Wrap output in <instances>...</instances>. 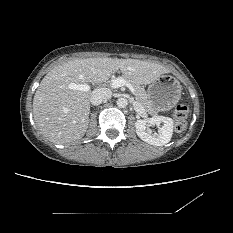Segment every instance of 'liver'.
Wrapping results in <instances>:
<instances>
[{
    "label": "liver",
    "instance_id": "1",
    "mask_svg": "<svg viewBox=\"0 0 233 233\" xmlns=\"http://www.w3.org/2000/svg\"><path fill=\"white\" fill-rule=\"evenodd\" d=\"M118 70L137 84H150L168 72L158 63L108 57L74 59L56 66L42 79L33 98L39 131L59 144L81 139L89 124L92 92L70 89L69 84L101 83Z\"/></svg>",
    "mask_w": 233,
    "mask_h": 233
}]
</instances>
